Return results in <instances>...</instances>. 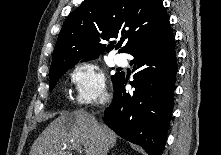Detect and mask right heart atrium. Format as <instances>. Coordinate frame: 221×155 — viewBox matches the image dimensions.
<instances>
[{
  "mask_svg": "<svg viewBox=\"0 0 221 155\" xmlns=\"http://www.w3.org/2000/svg\"><path fill=\"white\" fill-rule=\"evenodd\" d=\"M75 100L80 105L104 102L110 98L103 71L93 62L77 64L70 73Z\"/></svg>",
  "mask_w": 221,
  "mask_h": 155,
  "instance_id": "obj_1",
  "label": "right heart atrium"
}]
</instances>
